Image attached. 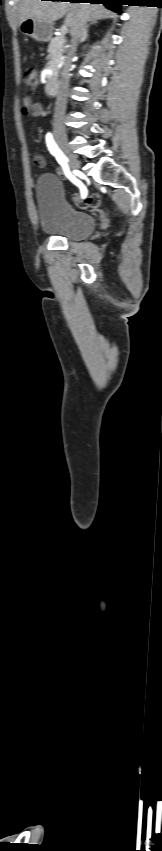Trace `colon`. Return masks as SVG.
<instances>
[{"label":"colon","instance_id":"5ec220e1","mask_svg":"<svg viewBox=\"0 0 162 851\" xmlns=\"http://www.w3.org/2000/svg\"><path fill=\"white\" fill-rule=\"evenodd\" d=\"M24 80L27 91L32 93L39 85V74L35 69H26L24 71ZM75 201L81 209H92L100 206L101 196L97 193H92L85 197L76 195Z\"/></svg>","mask_w":162,"mask_h":851}]
</instances>
